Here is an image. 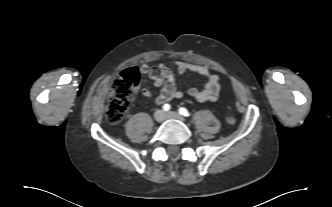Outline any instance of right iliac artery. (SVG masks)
<instances>
[{
	"mask_svg": "<svg viewBox=\"0 0 332 207\" xmlns=\"http://www.w3.org/2000/svg\"><path fill=\"white\" fill-rule=\"evenodd\" d=\"M163 110L164 111H169L170 110V105L169 104H164L163 105Z\"/></svg>",
	"mask_w": 332,
	"mask_h": 207,
	"instance_id": "right-iliac-artery-1",
	"label": "right iliac artery"
}]
</instances>
